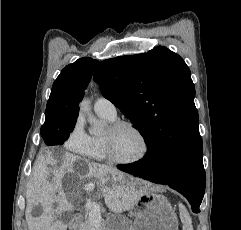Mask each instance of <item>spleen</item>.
Segmentation results:
<instances>
[{"label":"spleen","mask_w":241,"mask_h":230,"mask_svg":"<svg viewBox=\"0 0 241 230\" xmlns=\"http://www.w3.org/2000/svg\"><path fill=\"white\" fill-rule=\"evenodd\" d=\"M180 219L183 223V230H193L192 219L183 204H179Z\"/></svg>","instance_id":"obj_1"}]
</instances>
